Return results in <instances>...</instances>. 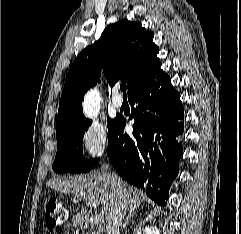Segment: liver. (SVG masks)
<instances>
[{"instance_id":"6515ba94","label":"liver","mask_w":241,"mask_h":234,"mask_svg":"<svg viewBox=\"0 0 241 234\" xmlns=\"http://www.w3.org/2000/svg\"><path fill=\"white\" fill-rule=\"evenodd\" d=\"M121 181L123 195L119 194L117 183L113 179V174L103 171H92L85 175L71 177L69 179H50L46 185L64 195H72L78 201L79 199L96 200L101 204L100 214L108 221L109 216L114 210L116 203H124L126 208L132 212L136 210L145 196L128 183Z\"/></svg>"}]
</instances>
